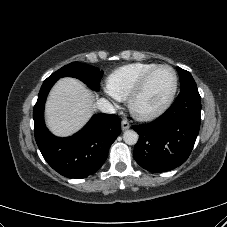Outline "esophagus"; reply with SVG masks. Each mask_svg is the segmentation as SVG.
<instances>
[{
	"instance_id": "obj_1",
	"label": "esophagus",
	"mask_w": 227,
	"mask_h": 227,
	"mask_svg": "<svg viewBox=\"0 0 227 227\" xmlns=\"http://www.w3.org/2000/svg\"><path fill=\"white\" fill-rule=\"evenodd\" d=\"M121 127H122V130H127V129L130 128V124H129L128 121L123 120V121L121 122Z\"/></svg>"
}]
</instances>
